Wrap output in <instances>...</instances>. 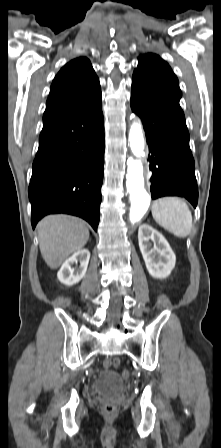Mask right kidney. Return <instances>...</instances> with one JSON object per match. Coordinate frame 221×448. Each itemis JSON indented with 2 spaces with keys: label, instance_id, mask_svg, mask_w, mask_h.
<instances>
[{
  "label": "right kidney",
  "instance_id": "1",
  "mask_svg": "<svg viewBox=\"0 0 221 448\" xmlns=\"http://www.w3.org/2000/svg\"><path fill=\"white\" fill-rule=\"evenodd\" d=\"M90 252L88 249H81L68 258L57 273L58 280L65 285L78 283L86 274ZM80 262L78 268L73 265Z\"/></svg>",
  "mask_w": 221,
  "mask_h": 448
}]
</instances>
